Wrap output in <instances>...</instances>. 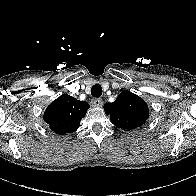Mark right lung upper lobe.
Here are the masks:
<instances>
[{
    "mask_svg": "<svg viewBox=\"0 0 196 196\" xmlns=\"http://www.w3.org/2000/svg\"><path fill=\"white\" fill-rule=\"evenodd\" d=\"M88 108L87 102L63 94L47 107L43 118L52 131L64 135L77 130Z\"/></svg>",
    "mask_w": 196,
    "mask_h": 196,
    "instance_id": "right-lung-upper-lobe-1",
    "label": "right lung upper lobe"
}]
</instances>
